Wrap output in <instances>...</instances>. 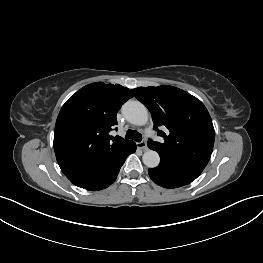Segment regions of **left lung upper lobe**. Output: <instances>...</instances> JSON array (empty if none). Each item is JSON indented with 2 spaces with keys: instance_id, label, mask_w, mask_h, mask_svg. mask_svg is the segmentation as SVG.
Listing matches in <instances>:
<instances>
[{
  "instance_id": "obj_1",
  "label": "left lung upper lobe",
  "mask_w": 263,
  "mask_h": 263,
  "mask_svg": "<svg viewBox=\"0 0 263 263\" xmlns=\"http://www.w3.org/2000/svg\"><path fill=\"white\" fill-rule=\"evenodd\" d=\"M151 112L154 129L164 142L148 140L161 161L202 172L213 150L215 131L204 104L191 94L168 85L132 90Z\"/></svg>"
}]
</instances>
